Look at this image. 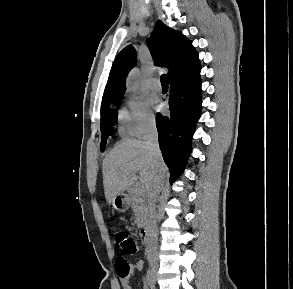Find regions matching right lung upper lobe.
<instances>
[{"instance_id":"cb5924a9","label":"right lung upper lobe","mask_w":293,"mask_h":289,"mask_svg":"<svg viewBox=\"0 0 293 289\" xmlns=\"http://www.w3.org/2000/svg\"><path fill=\"white\" fill-rule=\"evenodd\" d=\"M147 44L155 64L169 69L170 83L187 81L200 73L198 53L192 46V42L181 32L167 27L162 21H157ZM136 62L137 54L132 45L126 46L117 55L109 74L102 103L111 98L123 96L126 90V75Z\"/></svg>"}]
</instances>
